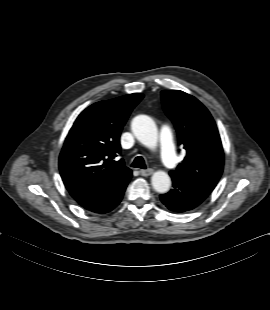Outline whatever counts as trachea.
<instances>
[{
  "mask_svg": "<svg viewBox=\"0 0 270 310\" xmlns=\"http://www.w3.org/2000/svg\"><path fill=\"white\" fill-rule=\"evenodd\" d=\"M131 166L134 167V168L146 169V164H145V161H144L142 156H137L133 160Z\"/></svg>",
  "mask_w": 270,
  "mask_h": 310,
  "instance_id": "trachea-1",
  "label": "trachea"
}]
</instances>
